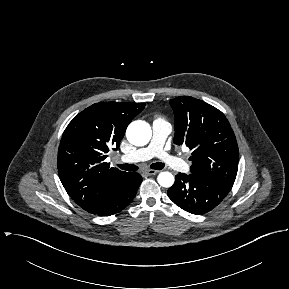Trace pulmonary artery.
<instances>
[{
  "mask_svg": "<svg viewBox=\"0 0 289 289\" xmlns=\"http://www.w3.org/2000/svg\"><path fill=\"white\" fill-rule=\"evenodd\" d=\"M152 130L153 135L148 146L122 156L121 160L124 162H140L158 157L174 170L187 171L188 165L182 159L169 155L163 149L165 141L171 133V125L162 119H156L153 121Z\"/></svg>",
  "mask_w": 289,
  "mask_h": 289,
  "instance_id": "1",
  "label": "pulmonary artery"
}]
</instances>
